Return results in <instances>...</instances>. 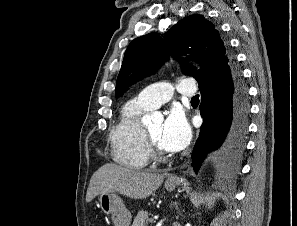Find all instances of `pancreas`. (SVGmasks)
<instances>
[{"instance_id": "cf45deb5", "label": "pancreas", "mask_w": 297, "mask_h": 226, "mask_svg": "<svg viewBox=\"0 0 297 226\" xmlns=\"http://www.w3.org/2000/svg\"><path fill=\"white\" fill-rule=\"evenodd\" d=\"M153 221L152 218H149L147 211H139L137 216L134 218L132 226H147L148 223Z\"/></svg>"}]
</instances>
